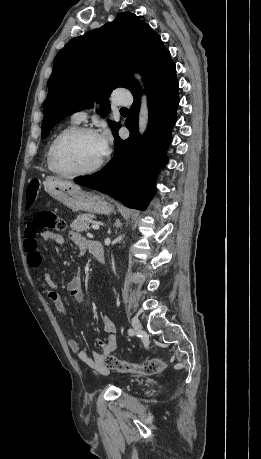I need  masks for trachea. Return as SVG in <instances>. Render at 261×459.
Masks as SVG:
<instances>
[{"mask_svg":"<svg viewBox=\"0 0 261 459\" xmlns=\"http://www.w3.org/2000/svg\"><path fill=\"white\" fill-rule=\"evenodd\" d=\"M121 111H128V109L125 108V107H122V108H121Z\"/></svg>","mask_w":261,"mask_h":459,"instance_id":"obj_1","label":"trachea"}]
</instances>
